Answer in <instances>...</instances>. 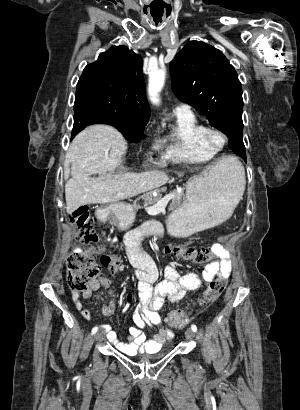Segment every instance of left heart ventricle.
Listing matches in <instances>:
<instances>
[{
	"instance_id": "obj_1",
	"label": "left heart ventricle",
	"mask_w": 300,
	"mask_h": 410,
	"mask_svg": "<svg viewBox=\"0 0 300 410\" xmlns=\"http://www.w3.org/2000/svg\"><path fill=\"white\" fill-rule=\"evenodd\" d=\"M212 141L214 142V144L219 145V144L222 143L223 140H222V137L220 135L214 134L212 136Z\"/></svg>"
}]
</instances>
